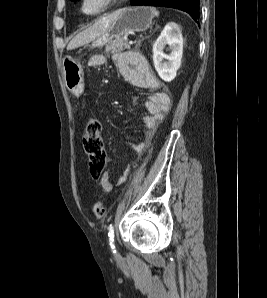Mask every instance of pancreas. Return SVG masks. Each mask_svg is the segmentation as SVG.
Returning a JSON list of instances; mask_svg holds the SVG:
<instances>
[{"label":"pancreas","instance_id":"cf45deb5","mask_svg":"<svg viewBox=\"0 0 267 298\" xmlns=\"http://www.w3.org/2000/svg\"><path fill=\"white\" fill-rule=\"evenodd\" d=\"M129 47L130 46L127 39H125L124 37H118L106 47V51L111 53H118L125 49H128Z\"/></svg>","mask_w":267,"mask_h":298}]
</instances>
